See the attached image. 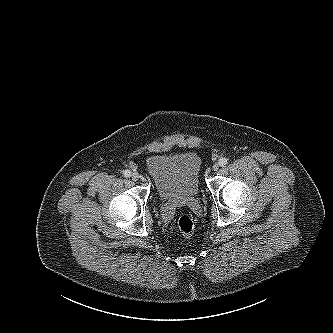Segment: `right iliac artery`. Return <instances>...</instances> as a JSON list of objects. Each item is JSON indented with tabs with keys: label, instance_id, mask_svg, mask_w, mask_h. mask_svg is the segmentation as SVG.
<instances>
[{
	"label": "right iliac artery",
	"instance_id": "obj_1",
	"mask_svg": "<svg viewBox=\"0 0 333 333\" xmlns=\"http://www.w3.org/2000/svg\"><path fill=\"white\" fill-rule=\"evenodd\" d=\"M123 175L125 177H130L131 176V171L130 170H125V171H123Z\"/></svg>",
	"mask_w": 333,
	"mask_h": 333
}]
</instances>
